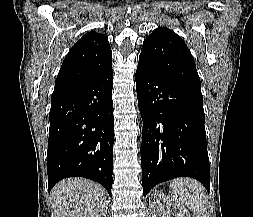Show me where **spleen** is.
Returning a JSON list of instances; mask_svg holds the SVG:
<instances>
[{
  "label": "spleen",
  "instance_id": "3e777b00",
  "mask_svg": "<svg viewBox=\"0 0 253 217\" xmlns=\"http://www.w3.org/2000/svg\"><path fill=\"white\" fill-rule=\"evenodd\" d=\"M169 191L172 200L189 208L193 217H206L207 194L200 182L192 178H176L170 182Z\"/></svg>",
  "mask_w": 253,
  "mask_h": 217
}]
</instances>
